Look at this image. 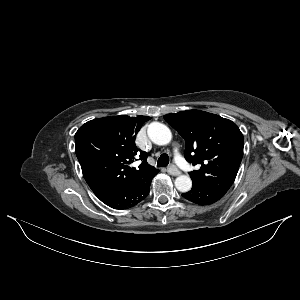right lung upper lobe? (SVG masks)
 Returning a JSON list of instances; mask_svg holds the SVG:
<instances>
[{"instance_id": "1", "label": "right lung upper lobe", "mask_w": 300, "mask_h": 300, "mask_svg": "<svg viewBox=\"0 0 300 300\" xmlns=\"http://www.w3.org/2000/svg\"><path fill=\"white\" fill-rule=\"evenodd\" d=\"M150 117L126 115L88 121L75 134V152L84 178L95 195L109 193L127 184L140 183L158 169L147 163V153L135 145V138ZM139 158V169L130 164Z\"/></svg>"}]
</instances>
